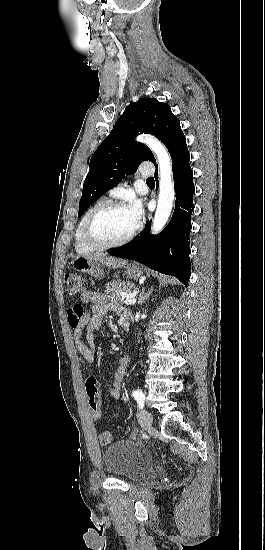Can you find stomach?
<instances>
[{"instance_id": "0dacf381", "label": "stomach", "mask_w": 265, "mask_h": 550, "mask_svg": "<svg viewBox=\"0 0 265 550\" xmlns=\"http://www.w3.org/2000/svg\"><path fill=\"white\" fill-rule=\"evenodd\" d=\"M72 268L78 272L89 274L93 277H101L102 269L99 261L88 257H76L71 262ZM126 275L130 279H138L142 275V270L136 265L126 267Z\"/></svg>"}]
</instances>
